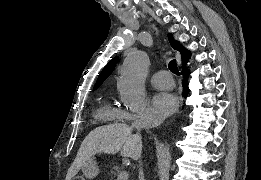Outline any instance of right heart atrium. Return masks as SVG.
I'll list each match as a JSON object with an SVG mask.
<instances>
[{
    "label": "right heart atrium",
    "mask_w": 261,
    "mask_h": 180,
    "mask_svg": "<svg viewBox=\"0 0 261 180\" xmlns=\"http://www.w3.org/2000/svg\"><path fill=\"white\" fill-rule=\"evenodd\" d=\"M122 120H129L128 131L129 127H144V121L147 119L146 113L143 115V118H139L130 113H123L121 116Z\"/></svg>",
    "instance_id": "d8ad5b80"
}]
</instances>
